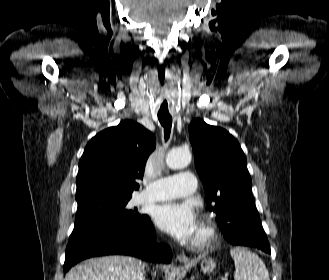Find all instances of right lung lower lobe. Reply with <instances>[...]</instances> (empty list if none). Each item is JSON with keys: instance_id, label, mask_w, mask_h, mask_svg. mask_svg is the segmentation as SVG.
I'll use <instances>...</instances> for the list:
<instances>
[{"instance_id": "1", "label": "right lung lower lobe", "mask_w": 329, "mask_h": 280, "mask_svg": "<svg viewBox=\"0 0 329 280\" xmlns=\"http://www.w3.org/2000/svg\"><path fill=\"white\" fill-rule=\"evenodd\" d=\"M156 233L148 219L140 228L97 220L74 229L65 254L64 274L78 262L102 255H130L150 262L170 263L169 246L155 243Z\"/></svg>"}]
</instances>
